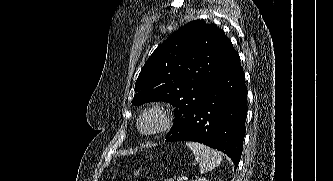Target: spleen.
Wrapping results in <instances>:
<instances>
[{
	"label": "spleen",
	"instance_id": "3e777b00",
	"mask_svg": "<svg viewBox=\"0 0 333 181\" xmlns=\"http://www.w3.org/2000/svg\"><path fill=\"white\" fill-rule=\"evenodd\" d=\"M186 145L193 151L196 161L199 162L201 173L213 170L222 162V156L216 150L196 142H187Z\"/></svg>",
	"mask_w": 333,
	"mask_h": 181
}]
</instances>
